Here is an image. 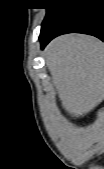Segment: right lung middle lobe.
Listing matches in <instances>:
<instances>
[{
  "mask_svg": "<svg viewBox=\"0 0 104 169\" xmlns=\"http://www.w3.org/2000/svg\"><path fill=\"white\" fill-rule=\"evenodd\" d=\"M72 0H56L47 4L48 8L44 21L42 23V28L48 23V21L61 9V7Z\"/></svg>",
  "mask_w": 104,
  "mask_h": 169,
  "instance_id": "right-lung-middle-lobe-1",
  "label": "right lung middle lobe"
}]
</instances>
